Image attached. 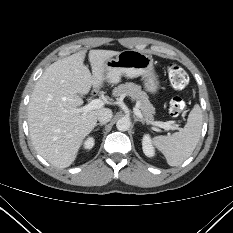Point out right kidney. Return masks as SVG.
<instances>
[{
  "label": "right kidney",
  "mask_w": 233,
  "mask_h": 233,
  "mask_svg": "<svg viewBox=\"0 0 233 233\" xmlns=\"http://www.w3.org/2000/svg\"><path fill=\"white\" fill-rule=\"evenodd\" d=\"M93 146H94V139L93 137H89L84 143V148L90 150Z\"/></svg>",
  "instance_id": "obj_1"
}]
</instances>
